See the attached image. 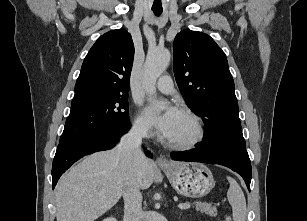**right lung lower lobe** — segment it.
<instances>
[{"label":"right lung lower lobe","instance_id":"1","mask_svg":"<svg viewBox=\"0 0 307 221\" xmlns=\"http://www.w3.org/2000/svg\"><path fill=\"white\" fill-rule=\"evenodd\" d=\"M130 123L118 125L106 130L82 135L74 139L60 142L53 160L52 188L54 189L60 176L77 160L91 153L111 149L121 135L128 131ZM147 156L151 153L146 150Z\"/></svg>","mask_w":307,"mask_h":221}]
</instances>
